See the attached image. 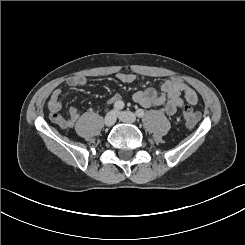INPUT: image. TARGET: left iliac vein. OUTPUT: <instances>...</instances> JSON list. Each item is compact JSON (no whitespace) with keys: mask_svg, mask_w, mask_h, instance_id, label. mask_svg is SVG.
<instances>
[{"mask_svg":"<svg viewBox=\"0 0 245 245\" xmlns=\"http://www.w3.org/2000/svg\"><path fill=\"white\" fill-rule=\"evenodd\" d=\"M118 118L125 123H135L137 117L134 113L129 111H121L117 113Z\"/></svg>","mask_w":245,"mask_h":245,"instance_id":"4c4485c4","label":"left iliac vein"}]
</instances>
